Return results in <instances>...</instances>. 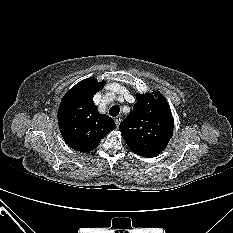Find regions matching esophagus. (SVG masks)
Masks as SVG:
<instances>
[{
    "mask_svg": "<svg viewBox=\"0 0 233 233\" xmlns=\"http://www.w3.org/2000/svg\"><path fill=\"white\" fill-rule=\"evenodd\" d=\"M121 120H122V119H121L120 116H117V117L115 118V123H116L117 127L119 126Z\"/></svg>",
    "mask_w": 233,
    "mask_h": 233,
    "instance_id": "obj_1",
    "label": "esophagus"
}]
</instances>
